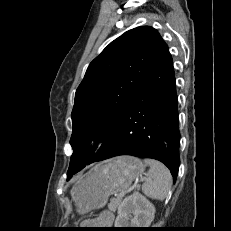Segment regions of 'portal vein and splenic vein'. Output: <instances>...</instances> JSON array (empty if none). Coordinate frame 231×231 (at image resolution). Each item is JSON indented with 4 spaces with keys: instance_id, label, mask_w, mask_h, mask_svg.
Segmentation results:
<instances>
[{
    "instance_id": "portal-vein-and-splenic-vein-1",
    "label": "portal vein and splenic vein",
    "mask_w": 231,
    "mask_h": 231,
    "mask_svg": "<svg viewBox=\"0 0 231 231\" xmlns=\"http://www.w3.org/2000/svg\"><path fill=\"white\" fill-rule=\"evenodd\" d=\"M145 179H142L141 181H144ZM134 189V186H130L127 190H125L123 193H120L118 196L123 197L126 194H129Z\"/></svg>"
}]
</instances>
